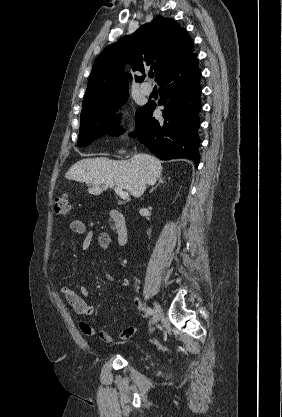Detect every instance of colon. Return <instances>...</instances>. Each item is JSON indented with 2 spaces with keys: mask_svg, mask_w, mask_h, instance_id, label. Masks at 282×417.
Here are the masks:
<instances>
[{
  "mask_svg": "<svg viewBox=\"0 0 282 417\" xmlns=\"http://www.w3.org/2000/svg\"><path fill=\"white\" fill-rule=\"evenodd\" d=\"M71 208V199L67 193H62L54 200V212L58 216L65 217L69 214ZM149 342L153 344L159 351L169 353V350L158 344L155 339L150 338Z\"/></svg>",
  "mask_w": 282,
  "mask_h": 417,
  "instance_id": "5ec220e1",
  "label": "colon"
}]
</instances>
